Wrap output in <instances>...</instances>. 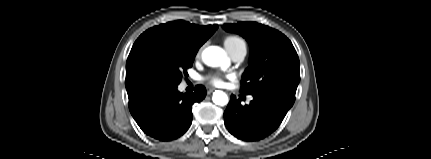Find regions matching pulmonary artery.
I'll return each mask as SVG.
<instances>
[{"label": "pulmonary artery", "mask_w": 431, "mask_h": 159, "mask_svg": "<svg viewBox=\"0 0 431 159\" xmlns=\"http://www.w3.org/2000/svg\"><path fill=\"white\" fill-rule=\"evenodd\" d=\"M246 53L247 49L245 44H239L229 51L231 58L236 62L242 61L245 58Z\"/></svg>", "instance_id": "1"}]
</instances>
